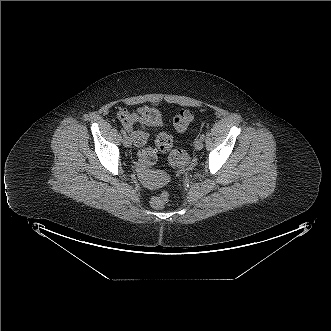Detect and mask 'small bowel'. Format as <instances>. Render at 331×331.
I'll return each mask as SVG.
<instances>
[{"label": "small bowel", "instance_id": "small-bowel-1", "mask_svg": "<svg viewBox=\"0 0 331 331\" xmlns=\"http://www.w3.org/2000/svg\"><path fill=\"white\" fill-rule=\"evenodd\" d=\"M148 108L150 107H139L135 112H130L126 108H121L117 112V117L121 125L131 134L134 144L141 148L139 159L143 165H150L155 160L153 150L149 147H145L148 135L146 133H142L139 129H135L136 124L142 125V113Z\"/></svg>", "mask_w": 331, "mask_h": 331}]
</instances>
